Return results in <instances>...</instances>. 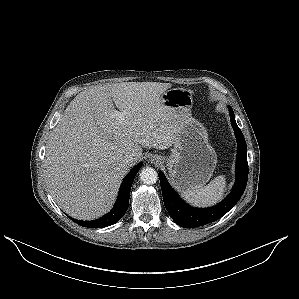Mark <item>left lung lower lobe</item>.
Returning a JSON list of instances; mask_svg holds the SVG:
<instances>
[{
	"label": "left lung lower lobe",
	"mask_w": 299,
	"mask_h": 299,
	"mask_svg": "<svg viewBox=\"0 0 299 299\" xmlns=\"http://www.w3.org/2000/svg\"><path fill=\"white\" fill-rule=\"evenodd\" d=\"M229 114L237 140V158L236 182L231 194L226 199L210 208H193L179 198L163 173H159L165 207L175 223L181 227L195 228L218 220L238 202L246 188L248 179L247 146L244 136L236 124L234 112L230 107Z\"/></svg>",
	"instance_id": "left-lung-lower-lobe-1"
}]
</instances>
